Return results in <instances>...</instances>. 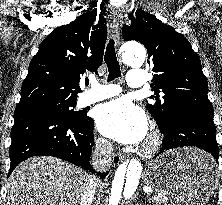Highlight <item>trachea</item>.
<instances>
[{
	"label": "trachea",
	"instance_id": "1",
	"mask_svg": "<svg viewBox=\"0 0 222 205\" xmlns=\"http://www.w3.org/2000/svg\"><path fill=\"white\" fill-rule=\"evenodd\" d=\"M105 63L108 68V81H112L115 78L121 77L120 65L116 57V51L114 46V40L111 39L107 44L105 51ZM88 84V83H87Z\"/></svg>",
	"mask_w": 222,
	"mask_h": 205
}]
</instances>
